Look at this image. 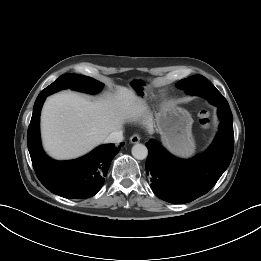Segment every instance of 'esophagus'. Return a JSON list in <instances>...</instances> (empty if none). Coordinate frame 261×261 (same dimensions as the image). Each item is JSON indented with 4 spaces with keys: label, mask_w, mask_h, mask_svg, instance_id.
<instances>
[{
    "label": "esophagus",
    "mask_w": 261,
    "mask_h": 261,
    "mask_svg": "<svg viewBox=\"0 0 261 261\" xmlns=\"http://www.w3.org/2000/svg\"><path fill=\"white\" fill-rule=\"evenodd\" d=\"M140 135L139 134H133L131 137H130V142L132 144H136L138 142H140Z\"/></svg>",
    "instance_id": "1"
}]
</instances>
